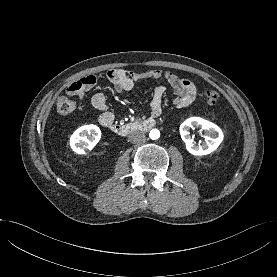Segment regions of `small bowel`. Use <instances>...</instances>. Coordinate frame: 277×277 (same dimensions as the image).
Returning a JSON list of instances; mask_svg holds the SVG:
<instances>
[{
  "label": "small bowel",
  "instance_id": "1",
  "mask_svg": "<svg viewBox=\"0 0 277 277\" xmlns=\"http://www.w3.org/2000/svg\"><path fill=\"white\" fill-rule=\"evenodd\" d=\"M105 76L113 84L117 93L132 90L136 83L141 80H164L172 88L174 94L173 103L177 108L188 107L194 102L197 95L196 87L191 81L180 78L175 73L166 69H149L141 71L112 69L108 70ZM81 80L85 82V89L81 92H74L72 88L77 84V82H74L67 88V93L69 95L78 96L80 99H83L85 93L97 83L99 76L90 75L82 78ZM165 90L166 87L164 85H159L154 90L151 101V113L153 116H159L162 113ZM91 104L95 109L100 111L98 120L102 126H105L107 122L114 121L115 116L109 109V105L104 94H94L91 98Z\"/></svg>",
  "mask_w": 277,
  "mask_h": 277
}]
</instances>
